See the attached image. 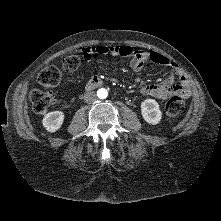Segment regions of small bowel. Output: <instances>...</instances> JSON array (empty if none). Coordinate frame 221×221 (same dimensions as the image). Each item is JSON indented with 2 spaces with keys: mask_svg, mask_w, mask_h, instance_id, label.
<instances>
[{
  "mask_svg": "<svg viewBox=\"0 0 221 221\" xmlns=\"http://www.w3.org/2000/svg\"><path fill=\"white\" fill-rule=\"evenodd\" d=\"M81 52L83 58L87 61L91 60L95 55L129 58L130 67L135 72L143 70L148 62L168 67L170 68V73L161 82L142 86L141 93L163 100L173 96L187 99L191 95L188 79L179 66L158 52L141 51L129 45L85 46ZM175 80L178 82L177 84H174Z\"/></svg>",
  "mask_w": 221,
  "mask_h": 221,
  "instance_id": "c3829d8e",
  "label": "small bowel"
}]
</instances>
